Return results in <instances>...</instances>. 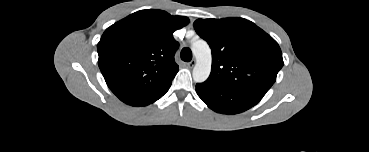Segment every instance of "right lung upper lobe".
<instances>
[{"mask_svg":"<svg viewBox=\"0 0 369 152\" xmlns=\"http://www.w3.org/2000/svg\"><path fill=\"white\" fill-rule=\"evenodd\" d=\"M189 23L162 10H141L114 23L98 45L99 68L111 91L137 105L168 88L178 72L173 32Z\"/></svg>","mask_w":369,"mask_h":152,"instance_id":"obj_1","label":"right lung upper lobe"}]
</instances>
